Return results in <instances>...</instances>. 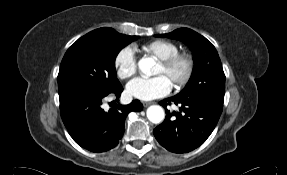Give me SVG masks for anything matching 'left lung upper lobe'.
<instances>
[{
  "instance_id": "left-lung-upper-lobe-1",
  "label": "left lung upper lobe",
  "mask_w": 287,
  "mask_h": 175,
  "mask_svg": "<svg viewBox=\"0 0 287 175\" xmlns=\"http://www.w3.org/2000/svg\"><path fill=\"white\" fill-rule=\"evenodd\" d=\"M186 43L194 54V69L179 97H199L223 106L225 74L219 55L211 42L188 28H180L168 34L157 35Z\"/></svg>"
}]
</instances>
